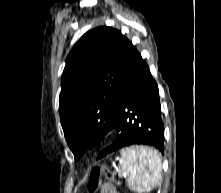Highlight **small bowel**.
<instances>
[{
  "instance_id": "c3829d8e",
  "label": "small bowel",
  "mask_w": 221,
  "mask_h": 193,
  "mask_svg": "<svg viewBox=\"0 0 221 193\" xmlns=\"http://www.w3.org/2000/svg\"><path fill=\"white\" fill-rule=\"evenodd\" d=\"M100 193H117L115 188L110 184H103Z\"/></svg>"
}]
</instances>
